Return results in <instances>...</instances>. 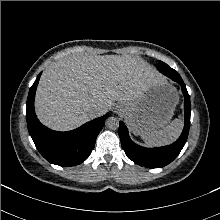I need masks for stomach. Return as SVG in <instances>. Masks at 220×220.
Returning <instances> with one entry per match:
<instances>
[{"label":"stomach","instance_id":"0dacf381","mask_svg":"<svg viewBox=\"0 0 220 220\" xmlns=\"http://www.w3.org/2000/svg\"><path fill=\"white\" fill-rule=\"evenodd\" d=\"M178 100L176 88L166 79H161L136 99L122 103V115L132 132L141 135L169 123Z\"/></svg>","mask_w":220,"mask_h":220}]
</instances>
